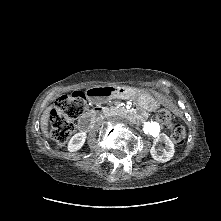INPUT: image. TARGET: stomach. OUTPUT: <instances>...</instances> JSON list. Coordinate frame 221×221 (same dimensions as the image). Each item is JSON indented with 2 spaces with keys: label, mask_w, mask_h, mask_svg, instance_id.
<instances>
[{
  "label": "stomach",
  "mask_w": 221,
  "mask_h": 221,
  "mask_svg": "<svg viewBox=\"0 0 221 221\" xmlns=\"http://www.w3.org/2000/svg\"><path fill=\"white\" fill-rule=\"evenodd\" d=\"M118 91L123 92L122 94L125 97L134 99L145 107L149 108V107H154L155 105H157V100L149 92L142 91L136 88H131V87H120L118 88Z\"/></svg>",
  "instance_id": "obj_1"
}]
</instances>
